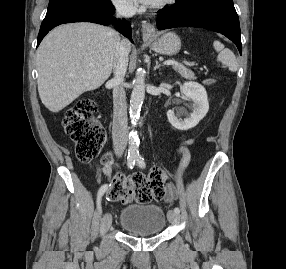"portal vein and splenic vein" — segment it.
<instances>
[{"label":"portal vein and splenic vein","instance_id":"18ae733b","mask_svg":"<svg viewBox=\"0 0 286 269\" xmlns=\"http://www.w3.org/2000/svg\"><path fill=\"white\" fill-rule=\"evenodd\" d=\"M165 65H175V66H179L180 64L176 61L173 60H167L164 62Z\"/></svg>","mask_w":286,"mask_h":269}]
</instances>
